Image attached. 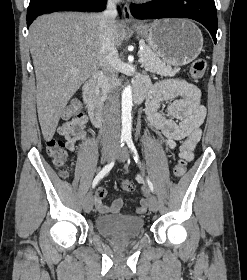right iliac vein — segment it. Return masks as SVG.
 Instances as JSON below:
<instances>
[{
  "label": "right iliac vein",
  "mask_w": 247,
  "mask_h": 280,
  "mask_svg": "<svg viewBox=\"0 0 247 280\" xmlns=\"http://www.w3.org/2000/svg\"><path fill=\"white\" fill-rule=\"evenodd\" d=\"M114 154V146L106 145L103 149V158L106 161H109ZM93 207V195L88 193L83 200V208L85 212H90Z\"/></svg>",
  "instance_id": "right-iliac-vein-1"
}]
</instances>
